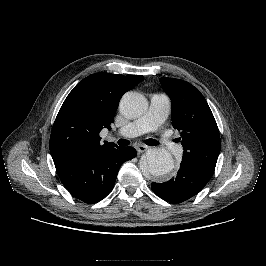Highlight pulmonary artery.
Here are the masks:
<instances>
[{
  "label": "pulmonary artery",
  "mask_w": 266,
  "mask_h": 266,
  "mask_svg": "<svg viewBox=\"0 0 266 266\" xmlns=\"http://www.w3.org/2000/svg\"><path fill=\"white\" fill-rule=\"evenodd\" d=\"M171 102L165 94H153L147 112L139 119L130 122L119 129L118 134L125 138H133L148 131H157L170 114ZM162 142L168 152H176V144L167 136H162Z\"/></svg>",
  "instance_id": "pulmonary-artery-1"
}]
</instances>
